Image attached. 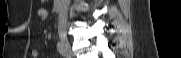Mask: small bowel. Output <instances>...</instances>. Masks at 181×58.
<instances>
[{
    "mask_svg": "<svg viewBox=\"0 0 181 58\" xmlns=\"http://www.w3.org/2000/svg\"><path fill=\"white\" fill-rule=\"evenodd\" d=\"M47 15H48V10H47V8H40L39 10H38V16L41 18V19H45L46 17H47ZM38 50L37 49H32V51H31V55H32V57L33 58H37L38 57Z\"/></svg>",
    "mask_w": 181,
    "mask_h": 58,
    "instance_id": "small-bowel-1",
    "label": "small bowel"
}]
</instances>
